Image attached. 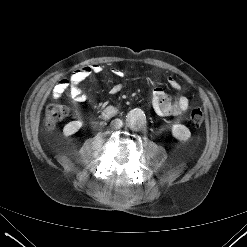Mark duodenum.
<instances>
[{
    "label": "duodenum",
    "mask_w": 247,
    "mask_h": 247,
    "mask_svg": "<svg viewBox=\"0 0 247 247\" xmlns=\"http://www.w3.org/2000/svg\"><path fill=\"white\" fill-rule=\"evenodd\" d=\"M116 113V109L114 107H107L104 112L103 115L105 117H110L113 116Z\"/></svg>",
    "instance_id": "410a0bca"
}]
</instances>
